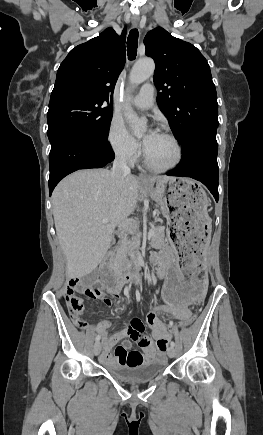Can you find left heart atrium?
I'll list each match as a JSON object with an SVG mask.
<instances>
[{
	"instance_id": "obj_1",
	"label": "left heart atrium",
	"mask_w": 263,
	"mask_h": 435,
	"mask_svg": "<svg viewBox=\"0 0 263 435\" xmlns=\"http://www.w3.org/2000/svg\"><path fill=\"white\" fill-rule=\"evenodd\" d=\"M157 136V132L155 130H150L145 138H144V145H145V149H147L149 147V145L152 143V141L155 139V137Z\"/></svg>"
}]
</instances>
